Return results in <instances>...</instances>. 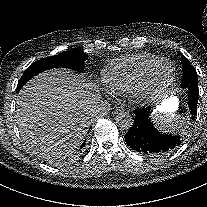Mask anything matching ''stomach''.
<instances>
[{
  "label": "stomach",
  "mask_w": 207,
  "mask_h": 207,
  "mask_svg": "<svg viewBox=\"0 0 207 207\" xmlns=\"http://www.w3.org/2000/svg\"><path fill=\"white\" fill-rule=\"evenodd\" d=\"M178 108V99L176 97H170L165 99L160 106L158 107V111L165 113H173Z\"/></svg>",
  "instance_id": "obj_1"
}]
</instances>
